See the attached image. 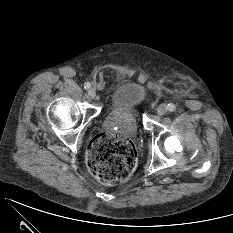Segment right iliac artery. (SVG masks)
<instances>
[{"label": "right iliac artery", "instance_id": "right-iliac-artery-1", "mask_svg": "<svg viewBox=\"0 0 233 233\" xmlns=\"http://www.w3.org/2000/svg\"><path fill=\"white\" fill-rule=\"evenodd\" d=\"M84 88H85V89H90V88H91V84H90L89 82H86V83L84 84Z\"/></svg>", "mask_w": 233, "mask_h": 233}]
</instances>
